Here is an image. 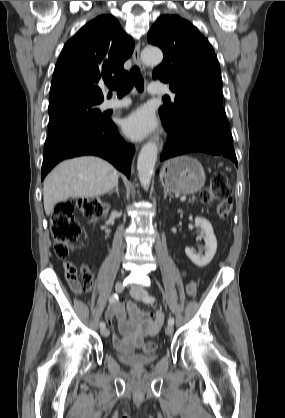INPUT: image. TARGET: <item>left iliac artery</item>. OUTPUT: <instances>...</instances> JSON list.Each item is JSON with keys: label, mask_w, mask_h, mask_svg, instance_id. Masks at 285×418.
Returning <instances> with one entry per match:
<instances>
[{"label": "left iliac artery", "mask_w": 285, "mask_h": 418, "mask_svg": "<svg viewBox=\"0 0 285 418\" xmlns=\"http://www.w3.org/2000/svg\"><path fill=\"white\" fill-rule=\"evenodd\" d=\"M156 301V298L154 296H147L144 298V302L148 303V304H152ZM174 324V318L170 317L168 319V325H173Z\"/></svg>", "instance_id": "1"}]
</instances>
